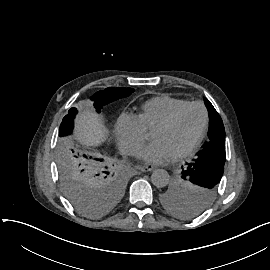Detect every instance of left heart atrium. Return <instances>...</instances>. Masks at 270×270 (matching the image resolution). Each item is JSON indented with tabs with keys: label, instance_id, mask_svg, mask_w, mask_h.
I'll list each match as a JSON object with an SVG mask.
<instances>
[{
	"label": "left heart atrium",
	"instance_id": "left-heart-atrium-1",
	"mask_svg": "<svg viewBox=\"0 0 270 270\" xmlns=\"http://www.w3.org/2000/svg\"><path fill=\"white\" fill-rule=\"evenodd\" d=\"M173 148L165 141L156 140L145 147L140 159L148 165H167L176 159Z\"/></svg>",
	"mask_w": 270,
	"mask_h": 270
}]
</instances>
